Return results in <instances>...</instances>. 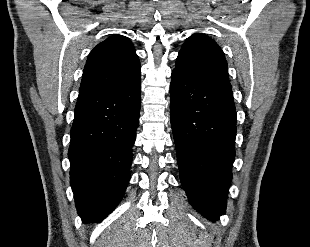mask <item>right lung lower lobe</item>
<instances>
[{"label":"right lung lower lobe","instance_id":"obj_1","mask_svg":"<svg viewBox=\"0 0 310 247\" xmlns=\"http://www.w3.org/2000/svg\"><path fill=\"white\" fill-rule=\"evenodd\" d=\"M140 104V82L78 97L68 156L70 184L83 222H100L124 195Z\"/></svg>","mask_w":310,"mask_h":247}]
</instances>
